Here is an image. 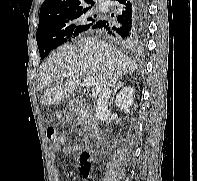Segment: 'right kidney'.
Listing matches in <instances>:
<instances>
[{
    "instance_id": "obj_1",
    "label": "right kidney",
    "mask_w": 197,
    "mask_h": 181,
    "mask_svg": "<svg viewBox=\"0 0 197 181\" xmlns=\"http://www.w3.org/2000/svg\"><path fill=\"white\" fill-rule=\"evenodd\" d=\"M134 89L132 87L123 88L120 93L117 95L115 103L124 112H129L130 106L133 104L134 100Z\"/></svg>"
}]
</instances>
